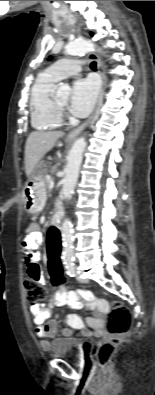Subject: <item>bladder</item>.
Listing matches in <instances>:
<instances>
[{
    "label": "bladder",
    "mask_w": 155,
    "mask_h": 395,
    "mask_svg": "<svg viewBox=\"0 0 155 395\" xmlns=\"http://www.w3.org/2000/svg\"><path fill=\"white\" fill-rule=\"evenodd\" d=\"M50 354L53 357L81 360L86 354V344L76 338H57L51 342Z\"/></svg>",
    "instance_id": "1"
}]
</instances>
